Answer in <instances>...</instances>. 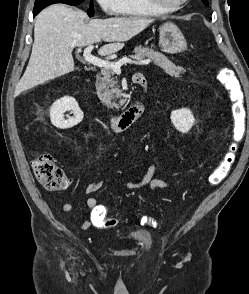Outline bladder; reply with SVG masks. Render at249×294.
Returning <instances> with one entry per match:
<instances>
[{"label":"bladder","instance_id":"1","mask_svg":"<svg viewBox=\"0 0 249 294\" xmlns=\"http://www.w3.org/2000/svg\"><path fill=\"white\" fill-rule=\"evenodd\" d=\"M129 238L136 243L144 242L148 239V234L144 231L136 230L129 234Z\"/></svg>","mask_w":249,"mask_h":294}]
</instances>
